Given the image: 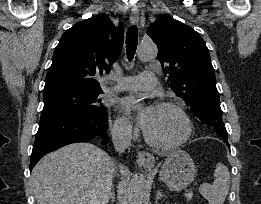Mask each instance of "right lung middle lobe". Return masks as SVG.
<instances>
[{"mask_svg":"<svg viewBox=\"0 0 261 204\" xmlns=\"http://www.w3.org/2000/svg\"><path fill=\"white\" fill-rule=\"evenodd\" d=\"M101 90H65L44 94V108L41 114L59 110H98L105 111V107L98 99Z\"/></svg>","mask_w":261,"mask_h":204,"instance_id":"right-lung-middle-lobe-1","label":"right lung middle lobe"}]
</instances>
